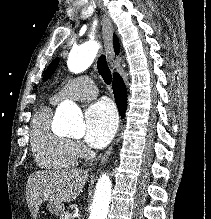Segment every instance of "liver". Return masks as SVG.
<instances>
[{
    "instance_id": "liver-1",
    "label": "liver",
    "mask_w": 211,
    "mask_h": 219,
    "mask_svg": "<svg viewBox=\"0 0 211 219\" xmlns=\"http://www.w3.org/2000/svg\"><path fill=\"white\" fill-rule=\"evenodd\" d=\"M88 179V171L72 168L57 171H39L30 175L26 188V201L34 219L43 201L59 204L75 200Z\"/></svg>"
}]
</instances>
